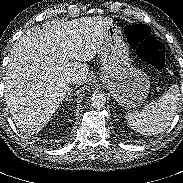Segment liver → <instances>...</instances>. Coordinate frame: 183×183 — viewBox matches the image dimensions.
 Masks as SVG:
<instances>
[{
    "instance_id": "1",
    "label": "liver",
    "mask_w": 183,
    "mask_h": 183,
    "mask_svg": "<svg viewBox=\"0 0 183 183\" xmlns=\"http://www.w3.org/2000/svg\"><path fill=\"white\" fill-rule=\"evenodd\" d=\"M112 25V18L101 16L52 20L20 36L6 66L4 95L22 131L38 133L47 124L69 91L70 74H79L84 83L86 62L99 52Z\"/></svg>"
}]
</instances>
